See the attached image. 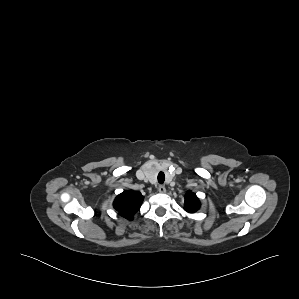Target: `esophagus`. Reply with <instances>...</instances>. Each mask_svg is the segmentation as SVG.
I'll return each instance as SVG.
<instances>
[{
	"label": "esophagus",
	"mask_w": 299,
	"mask_h": 299,
	"mask_svg": "<svg viewBox=\"0 0 299 299\" xmlns=\"http://www.w3.org/2000/svg\"><path fill=\"white\" fill-rule=\"evenodd\" d=\"M158 191H159L160 193H165V192H166V188H165V186H163V185L158 186Z\"/></svg>",
	"instance_id": "esophagus-1"
}]
</instances>
